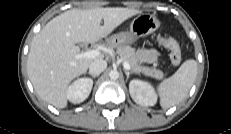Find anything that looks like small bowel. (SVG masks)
I'll list each match as a JSON object with an SVG mask.
<instances>
[{"instance_id":"1","label":"small bowel","mask_w":231,"mask_h":134,"mask_svg":"<svg viewBox=\"0 0 231 134\" xmlns=\"http://www.w3.org/2000/svg\"><path fill=\"white\" fill-rule=\"evenodd\" d=\"M159 58V52L152 48H144L138 52V59L143 63H155Z\"/></svg>"}]
</instances>
